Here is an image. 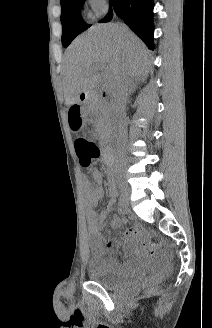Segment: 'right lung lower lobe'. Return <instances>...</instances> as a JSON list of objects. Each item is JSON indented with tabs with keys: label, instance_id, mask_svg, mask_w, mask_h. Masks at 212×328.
Masks as SVG:
<instances>
[{
	"label": "right lung lower lobe",
	"instance_id": "1",
	"mask_svg": "<svg viewBox=\"0 0 212 328\" xmlns=\"http://www.w3.org/2000/svg\"><path fill=\"white\" fill-rule=\"evenodd\" d=\"M111 3L114 12L153 50V0H111ZM112 17L110 9L101 22H109Z\"/></svg>",
	"mask_w": 212,
	"mask_h": 328
}]
</instances>
